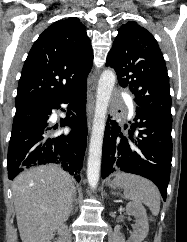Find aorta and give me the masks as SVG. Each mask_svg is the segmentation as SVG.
<instances>
[{"mask_svg": "<svg viewBox=\"0 0 187 242\" xmlns=\"http://www.w3.org/2000/svg\"><path fill=\"white\" fill-rule=\"evenodd\" d=\"M115 81L116 75L114 71L107 69L102 72L98 82L95 114L92 125L87 163V180L91 189H95L97 187L100 177L102 145L107 107Z\"/></svg>", "mask_w": 187, "mask_h": 242, "instance_id": "1", "label": "aorta"}]
</instances>
